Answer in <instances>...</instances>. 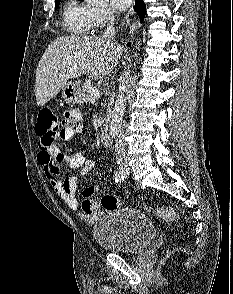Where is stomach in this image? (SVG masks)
<instances>
[{
    "instance_id": "1",
    "label": "stomach",
    "mask_w": 233,
    "mask_h": 294,
    "mask_svg": "<svg viewBox=\"0 0 233 294\" xmlns=\"http://www.w3.org/2000/svg\"><path fill=\"white\" fill-rule=\"evenodd\" d=\"M62 97L68 104L82 103L81 87L77 82H68L62 89Z\"/></svg>"
}]
</instances>
